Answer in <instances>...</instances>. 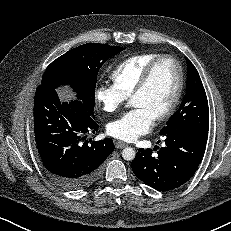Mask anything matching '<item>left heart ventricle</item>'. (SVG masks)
<instances>
[{"instance_id":"obj_1","label":"left heart ventricle","mask_w":231,"mask_h":231,"mask_svg":"<svg viewBox=\"0 0 231 231\" xmlns=\"http://www.w3.org/2000/svg\"><path fill=\"white\" fill-rule=\"evenodd\" d=\"M177 83L178 71L175 64L168 59L162 60L153 70L144 91L131 99V105L144 107L156 117L170 105Z\"/></svg>"}]
</instances>
